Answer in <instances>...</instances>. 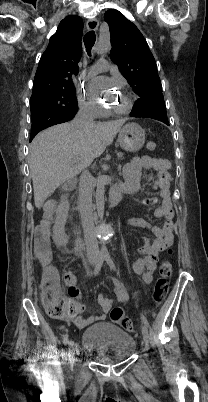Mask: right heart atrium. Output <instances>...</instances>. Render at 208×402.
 Masks as SVG:
<instances>
[{
    "label": "right heart atrium",
    "mask_w": 208,
    "mask_h": 402,
    "mask_svg": "<svg viewBox=\"0 0 208 402\" xmlns=\"http://www.w3.org/2000/svg\"><path fill=\"white\" fill-rule=\"evenodd\" d=\"M77 98L80 108L91 118H100L104 114V110L97 98L87 93L85 89L77 90Z\"/></svg>",
    "instance_id": "right-heart-atrium-1"
}]
</instances>
